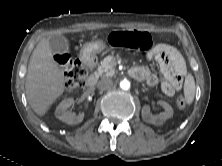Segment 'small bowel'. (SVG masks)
Listing matches in <instances>:
<instances>
[{
    "mask_svg": "<svg viewBox=\"0 0 222 166\" xmlns=\"http://www.w3.org/2000/svg\"><path fill=\"white\" fill-rule=\"evenodd\" d=\"M149 60H155L160 67L163 79L144 67H135L136 79L145 80L149 86L160 84L162 92L167 96H173L181 89L182 81L187 74L186 63L180 52L168 44H158L147 53Z\"/></svg>",
    "mask_w": 222,
    "mask_h": 166,
    "instance_id": "1",
    "label": "small bowel"
}]
</instances>
